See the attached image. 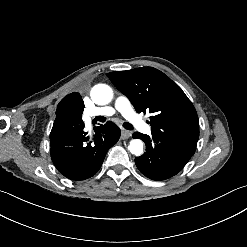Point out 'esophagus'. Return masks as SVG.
I'll use <instances>...</instances> for the list:
<instances>
[{
  "label": "esophagus",
  "mask_w": 247,
  "mask_h": 247,
  "mask_svg": "<svg viewBox=\"0 0 247 247\" xmlns=\"http://www.w3.org/2000/svg\"><path fill=\"white\" fill-rule=\"evenodd\" d=\"M130 136H131V133L129 131L122 130V132H121V139L122 140L128 139Z\"/></svg>",
  "instance_id": "esophagus-1"
}]
</instances>
